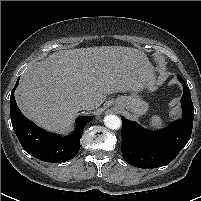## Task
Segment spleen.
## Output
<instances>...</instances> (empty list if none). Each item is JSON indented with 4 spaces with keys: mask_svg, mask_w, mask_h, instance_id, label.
I'll return each mask as SVG.
<instances>
[{
    "mask_svg": "<svg viewBox=\"0 0 201 201\" xmlns=\"http://www.w3.org/2000/svg\"><path fill=\"white\" fill-rule=\"evenodd\" d=\"M149 124L153 128H160L163 125V121L159 115H153L150 118Z\"/></svg>",
    "mask_w": 201,
    "mask_h": 201,
    "instance_id": "3e777b00",
    "label": "spleen"
}]
</instances>
